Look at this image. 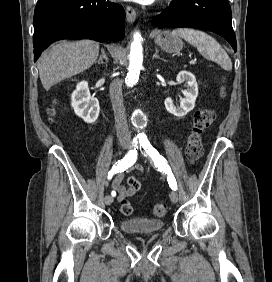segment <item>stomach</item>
<instances>
[{
    "instance_id": "stomach-1",
    "label": "stomach",
    "mask_w": 272,
    "mask_h": 282,
    "mask_svg": "<svg viewBox=\"0 0 272 282\" xmlns=\"http://www.w3.org/2000/svg\"><path fill=\"white\" fill-rule=\"evenodd\" d=\"M155 43L169 53L179 52L183 48L180 37L173 36L169 31H161L155 37Z\"/></svg>"
}]
</instances>
